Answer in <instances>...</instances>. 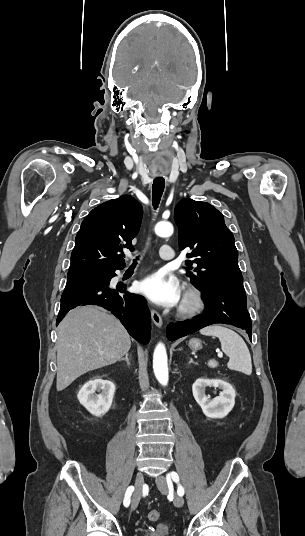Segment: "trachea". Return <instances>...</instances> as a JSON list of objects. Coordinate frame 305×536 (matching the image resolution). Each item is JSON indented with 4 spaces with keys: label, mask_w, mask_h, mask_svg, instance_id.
<instances>
[{
    "label": "trachea",
    "mask_w": 305,
    "mask_h": 536,
    "mask_svg": "<svg viewBox=\"0 0 305 536\" xmlns=\"http://www.w3.org/2000/svg\"><path fill=\"white\" fill-rule=\"evenodd\" d=\"M164 188H165L164 178L162 177L154 178L153 184H152V204L155 209L158 208ZM134 263H136L135 260H134Z\"/></svg>",
    "instance_id": "trachea-1"
}]
</instances>
